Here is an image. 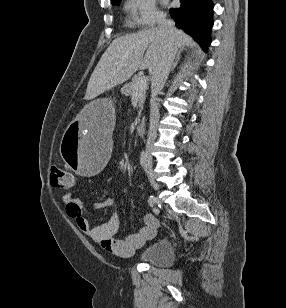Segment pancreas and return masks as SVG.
<instances>
[{
	"label": "pancreas",
	"instance_id": "obj_1",
	"mask_svg": "<svg viewBox=\"0 0 286 308\" xmlns=\"http://www.w3.org/2000/svg\"><path fill=\"white\" fill-rule=\"evenodd\" d=\"M138 80V77H135L132 79V81L126 85L123 86V88L121 89V93L125 96H134V86L136 84ZM148 89V86H146L143 91H141L138 95H139V107H140V110H139V117H140V114H141V111H142V108H143V104L145 102V99H146V91ZM139 117H138V120H139Z\"/></svg>",
	"mask_w": 286,
	"mask_h": 308
}]
</instances>
